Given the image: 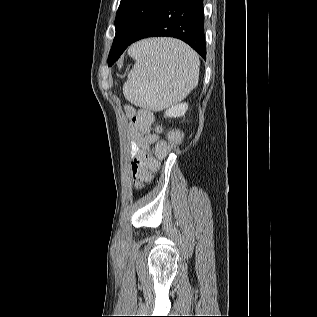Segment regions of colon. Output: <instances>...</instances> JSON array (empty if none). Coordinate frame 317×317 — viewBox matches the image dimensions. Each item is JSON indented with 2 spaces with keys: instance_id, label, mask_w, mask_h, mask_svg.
I'll return each mask as SVG.
<instances>
[{
  "instance_id": "colon-1",
  "label": "colon",
  "mask_w": 317,
  "mask_h": 317,
  "mask_svg": "<svg viewBox=\"0 0 317 317\" xmlns=\"http://www.w3.org/2000/svg\"><path fill=\"white\" fill-rule=\"evenodd\" d=\"M153 122V113L146 109L136 111L132 117L133 125L143 133L149 132ZM180 138V133L173 131L169 134L167 140H161L156 144L154 155L141 153L134 159L131 164V173L136 186L141 187L150 180L159 161L168 155L173 146L179 142Z\"/></svg>"
}]
</instances>
